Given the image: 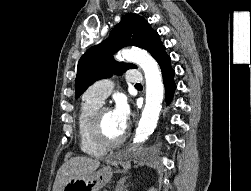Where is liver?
Wrapping results in <instances>:
<instances>
[{"label": "liver", "mask_w": 251, "mask_h": 191, "mask_svg": "<svg viewBox=\"0 0 251 191\" xmlns=\"http://www.w3.org/2000/svg\"><path fill=\"white\" fill-rule=\"evenodd\" d=\"M99 165V159H92V157H70L59 167L52 191H63V187L69 179L86 181Z\"/></svg>", "instance_id": "6515ba94"}]
</instances>
